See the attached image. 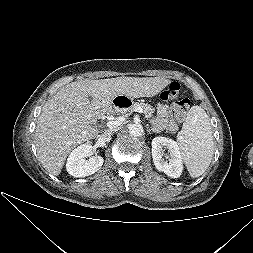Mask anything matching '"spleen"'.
<instances>
[{
  "mask_svg": "<svg viewBox=\"0 0 253 253\" xmlns=\"http://www.w3.org/2000/svg\"><path fill=\"white\" fill-rule=\"evenodd\" d=\"M177 144L191 177L201 176L209 167L214 153V138L210 118L200 106L189 110Z\"/></svg>",
  "mask_w": 253,
  "mask_h": 253,
  "instance_id": "obj_1",
  "label": "spleen"
}]
</instances>
